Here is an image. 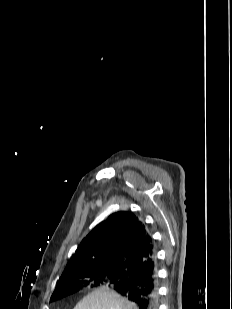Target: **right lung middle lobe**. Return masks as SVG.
Here are the masks:
<instances>
[{"mask_svg":"<svg viewBox=\"0 0 232 309\" xmlns=\"http://www.w3.org/2000/svg\"><path fill=\"white\" fill-rule=\"evenodd\" d=\"M128 278L126 272L119 271L93 270L83 272L61 284L57 283L51 301L73 294L86 286H111L114 288L127 283Z\"/></svg>","mask_w":232,"mask_h":309,"instance_id":"dd1d6c3e","label":"right lung middle lobe"}]
</instances>
